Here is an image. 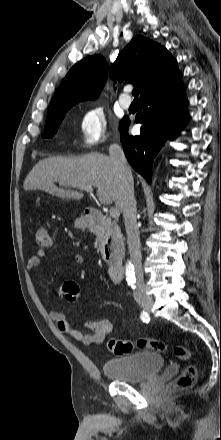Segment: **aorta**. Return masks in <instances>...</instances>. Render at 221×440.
I'll return each instance as SVG.
<instances>
[{
	"label": "aorta",
	"mask_w": 221,
	"mask_h": 440,
	"mask_svg": "<svg viewBox=\"0 0 221 440\" xmlns=\"http://www.w3.org/2000/svg\"><path fill=\"white\" fill-rule=\"evenodd\" d=\"M126 280L129 284H133L135 280L134 267L128 263L125 268Z\"/></svg>",
	"instance_id": "1"
}]
</instances>
